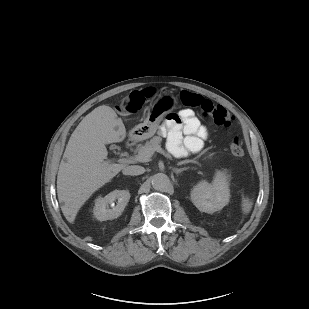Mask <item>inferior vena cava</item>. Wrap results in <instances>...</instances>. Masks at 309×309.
I'll return each mask as SVG.
<instances>
[{"instance_id":"1","label":"inferior vena cava","mask_w":309,"mask_h":309,"mask_svg":"<svg viewBox=\"0 0 309 309\" xmlns=\"http://www.w3.org/2000/svg\"><path fill=\"white\" fill-rule=\"evenodd\" d=\"M145 171V169L142 166H138V165H131V166H127L122 170V173L124 175H131V176H136V175H140L143 174Z\"/></svg>"}]
</instances>
